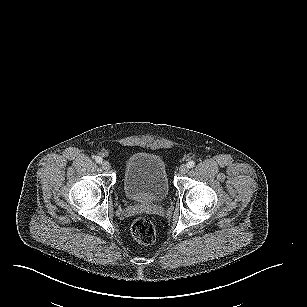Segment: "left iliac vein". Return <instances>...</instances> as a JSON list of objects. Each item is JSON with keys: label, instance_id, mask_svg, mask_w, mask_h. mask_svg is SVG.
I'll use <instances>...</instances> for the list:
<instances>
[{"label": "left iliac vein", "instance_id": "left-iliac-vein-1", "mask_svg": "<svg viewBox=\"0 0 307 307\" xmlns=\"http://www.w3.org/2000/svg\"><path fill=\"white\" fill-rule=\"evenodd\" d=\"M188 170H189V168H188V166L185 165V164H182V165L179 167V169H178V171H179V173H180L181 175L186 174V173L188 172Z\"/></svg>", "mask_w": 307, "mask_h": 307}]
</instances>
